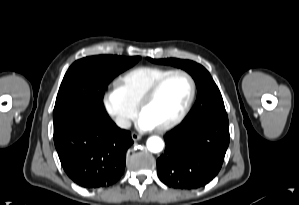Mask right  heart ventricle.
<instances>
[{
    "instance_id": "1",
    "label": "right heart ventricle",
    "mask_w": 299,
    "mask_h": 205,
    "mask_svg": "<svg viewBox=\"0 0 299 205\" xmlns=\"http://www.w3.org/2000/svg\"><path fill=\"white\" fill-rule=\"evenodd\" d=\"M170 71L172 70L157 66H139L121 75L116 81V86L122 91L127 101L137 107L148 88Z\"/></svg>"
}]
</instances>
